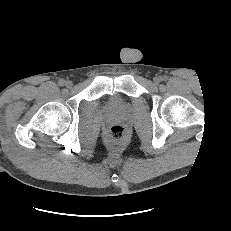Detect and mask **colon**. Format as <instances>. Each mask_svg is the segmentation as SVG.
<instances>
[{"label":"colon","mask_w":231,"mask_h":231,"mask_svg":"<svg viewBox=\"0 0 231 231\" xmlns=\"http://www.w3.org/2000/svg\"><path fill=\"white\" fill-rule=\"evenodd\" d=\"M108 134L113 142H121L126 136V129L121 125H114L109 128Z\"/></svg>","instance_id":"1"}]
</instances>
